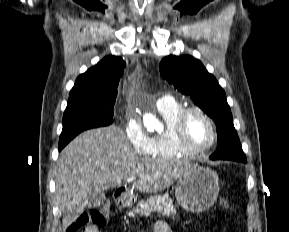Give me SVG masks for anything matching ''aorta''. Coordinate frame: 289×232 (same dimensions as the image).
Wrapping results in <instances>:
<instances>
[{
	"instance_id": "obj_1",
	"label": "aorta",
	"mask_w": 289,
	"mask_h": 232,
	"mask_svg": "<svg viewBox=\"0 0 289 232\" xmlns=\"http://www.w3.org/2000/svg\"><path fill=\"white\" fill-rule=\"evenodd\" d=\"M145 124L149 130H160L161 124L160 122L152 115L145 116Z\"/></svg>"
}]
</instances>
